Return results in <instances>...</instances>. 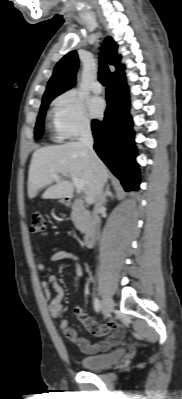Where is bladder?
Returning <instances> with one entry per match:
<instances>
[{"mask_svg": "<svg viewBox=\"0 0 182 399\" xmlns=\"http://www.w3.org/2000/svg\"><path fill=\"white\" fill-rule=\"evenodd\" d=\"M123 355V349H115L106 354L84 356L80 358L79 363L85 370H101L120 360Z\"/></svg>", "mask_w": 182, "mask_h": 399, "instance_id": "31cf9c89", "label": "bladder"}]
</instances>
